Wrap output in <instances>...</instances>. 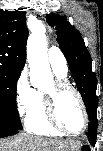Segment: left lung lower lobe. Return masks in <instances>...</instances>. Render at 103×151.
Listing matches in <instances>:
<instances>
[{"mask_svg": "<svg viewBox=\"0 0 103 151\" xmlns=\"http://www.w3.org/2000/svg\"><path fill=\"white\" fill-rule=\"evenodd\" d=\"M97 105H98V102H97ZM96 112H97V106H95L94 111L88 113L89 120H90V125H89V130H88V134H89L88 139L91 145L93 146L95 145V142H96L97 126H98Z\"/></svg>", "mask_w": 103, "mask_h": 151, "instance_id": "0a47b994", "label": "left lung lower lobe"}]
</instances>
